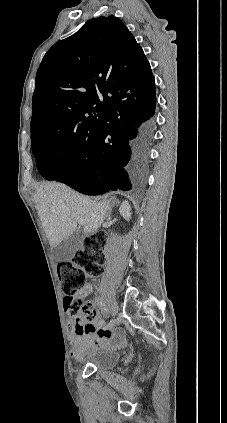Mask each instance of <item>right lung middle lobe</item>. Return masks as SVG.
<instances>
[{
  "instance_id": "1",
  "label": "right lung middle lobe",
  "mask_w": 227,
  "mask_h": 423,
  "mask_svg": "<svg viewBox=\"0 0 227 423\" xmlns=\"http://www.w3.org/2000/svg\"><path fill=\"white\" fill-rule=\"evenodd\" d=\"M94 145L95 138L76 141L62 136H48L33 142L32 152L40 175L53 181L70 175Z\"/></svg>"
}]
</instances>
